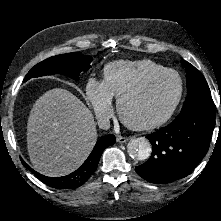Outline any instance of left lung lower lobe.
<instances>
[{
	"label": "left lung lower lobe",
	"instance_id": "0a47b994",
	"mask_svg": "<svg viewBox=\"0 0 221 221\" xmlns=\"http://www.w3.org/2000/svg\"><path fill=\"white\" fill-rule=\"evenodd\" d=\"M215 105L195 104L168 126L147 136L152 153L136 172L151 183L166 184L189 175L208 151Z\"/></svg>",
	"mask_w": 221,
	"mask_h": 221
}]
</instances>
